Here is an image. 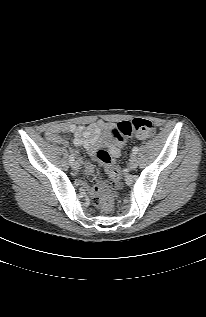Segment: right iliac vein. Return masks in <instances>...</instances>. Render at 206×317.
Segmentation results:
<instances>
[{"label": "right iliac vein", "instance_id": "obj_1", "mask_svg": "<svg viewBox=\"0 0 206 317\" xmlns=\"http://www.w3.org/2000/svg\"><path fill=\"white\" fill-rule=\"evenodd\" d=\"M71 166L74 170H78L79 169V163L78 162H73L71 163Z\"/></svg>", "mask_w": 206, "mask_h": 317}]
</instances>
